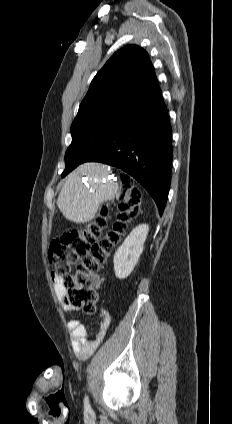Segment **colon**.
<instances>
[{
  "label": "colon",
  "mask_w": 232,
  "mask_h": 424,
  "mask_svg": "<svg viewBox=\"0 0 232 424\" xmlns=\"http://www.w3.org/2000/svg\"><path fill=\"white\" fill-rule=\"evenodd\" d=\"M140 202V191L128 188L119 205L120 212L114 229L105 238L102 235L107 224L108 208L102 206L98 216L87 227L69 232L51 243L49 261L53 267L52 276L62 285L70 306L86 314L95 312L98 301L97 273L131 220L139 213ZM74 266L76 271L71 275Z\"/></svg>",
  "instance_id": "colon-1"
}]
</instances>
